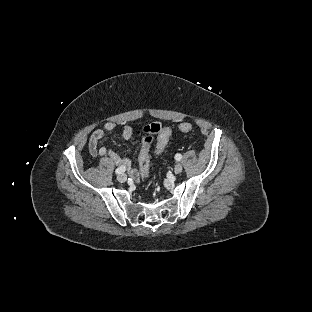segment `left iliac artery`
Returning a JSON list of instances; mask_svg holds the SVG:
<instances>
[{"mask_svg": "<svg viewBox=\"0 0 312 312\" xmlns=\"http://www.w3.org/2000/svg\"><path fill=\"white\" fill-rule=\"evenodd\" d=\"M175 159H176L177 161H180V160L182 159V155H181V154H176V155H175Z\"/></svg>", "mask_w": 312, "mask_h": 312, "instance_id": "left-iliac-artery-1", "label": "left iliac artery"}]
</instances>
